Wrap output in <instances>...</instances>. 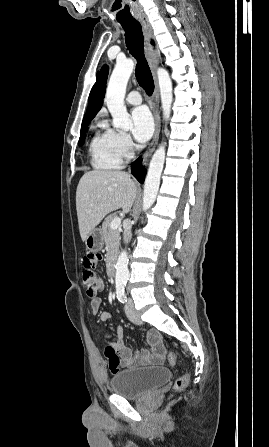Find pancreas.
I'll use <instances>...</instances> for the list:
<instances>
[{
    "label": "pancreas",
    "instance_id": "pancreas-1",
    "mask_svg": "<svg viewBox=\"0 0 269 447\" xmlns=\"http://www.w3.org/2000/svg\"><path fill=\"white\" fill-rule=\"evenodd\" d=\"M115 214H111L108 218H105V222L102 224V231L104 233L105 245L107 247L106 265L107 269H110V265L114 263L117 257V251L120 243V231L118 229H111V220H114Z\"/></svg>",
    "mask_w": 269,
    "mask_h": 447
}]
</instances>
